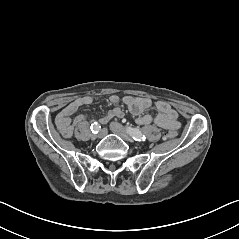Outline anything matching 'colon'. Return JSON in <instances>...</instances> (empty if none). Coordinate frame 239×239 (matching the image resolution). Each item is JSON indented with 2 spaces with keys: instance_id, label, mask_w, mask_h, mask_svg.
I'll return each mask as SVG.
<instances>
[{
  "instance_id": "obj_1",
  "label": "colon",
  "mask_w": 239,
  "mask_h": 239,
  "mask_svg": "<svg viewBox=\"0 0 239 239\" xmlns=\"http://www.w3.org/2000/svg\"><path fill=\"white\" fill-rule=\"evenodd\" d=\"M177 135V132L175 130H170L166 136L164 137L165 139H172V138H175Z\"/></svg>"
}]
</instances>
